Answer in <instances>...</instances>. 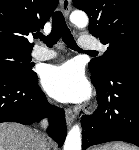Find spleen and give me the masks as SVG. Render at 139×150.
Returning a JSON list of instances; mask_svg holds the SVG:
<instances>
[{"mask_svg":"<svg viewBox=\"0 0 139 150\" xmlns=\"http://www.w3.org/2000/svg\"><path fill=\"white\" fill-rule=\"evenodd\" d=\"M109 150H136V148L123 143H114L109 146Z\"/></svg>","mask_w":139,"mask_h":150,"instance_id":"3e777b00","label":"spleen"}]
</instances>
